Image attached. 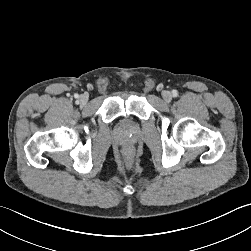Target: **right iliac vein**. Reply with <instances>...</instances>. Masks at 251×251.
<instances>
[{
    "mask_svg": "<svg viewBox=\"0 0 251 251\" xmlns=\"http://www.w3.org/2000/svg\"><path fill=\"white\" fill-rule=\"evenodd\" d=\"M79 102L81 105H85L88 102V96L83 94L79 97Z\"/></svg>",
    "mask_w": 251,
    "mask_h": 251,
    "instance_id": "63e3f726",
    "label": "right iliac vein"
}]
</instances>
